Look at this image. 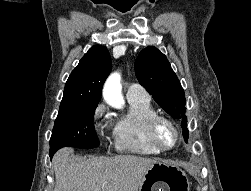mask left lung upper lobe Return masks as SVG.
<instances>
[{"label":"left lung upper lobe","mask_w":251,"mask_h":191,"mask_svg":"<svg viewBox=\"0 0 251 191\" xmlns=\"http://www.w3.org/2000/svg\"><path fill=\"white\" fill-rule=\"evenodd\" d=\"M135 74L165 112L175 119H182L183 137L187 142L185 94L166 56L153 46L143 49L135 61Z\"/></svg>","instance_id":"5c2ea615"}]
</instances>
